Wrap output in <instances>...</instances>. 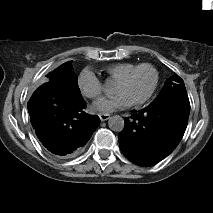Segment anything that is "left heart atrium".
<instances>
[{
	"label": "left heart atrium",
	"mask_w": 213,
	"mask_h": 213,
	"mask_svg": "<svg viewBox=\"0 0 213 213\" xmlns=\"http://www.w3.org/2000/svg\"><path fill=\"white\" fill-rule=\"evenodd\" d=\"M128 104L129 100L125 96L118 94L98 101L94 105V109L99 112L110 113L122 109Z\"/></svg>",
	"instance_id": "1"
}]
</instances>
